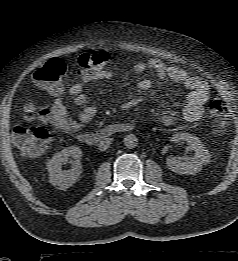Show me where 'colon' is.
<instances>
[{
	"mask_svg": "<svg viewBox=\"0 0 238 261\" xmlns=\"http://www.w3.org/2000/svg\"><path fill=\"white\" fill-rule=\"evenodd\" d=\"M108 60L109 56L104 51H87L79 56L78 65L86 71H97ZM65 73V63L60 59H51L33 74V79L37 85L51 93H59ZM25 114L29 125H16L12 132V139L23 155L38 156L52 139L51 132L41 125L47 121L48 111L38 109L29 102L25 107ZM207 117L214 134L225 133L229 112L221 100L213 99L209 102Z\"/></svg>",
	"mask_w": 238,
	"mask_h": 261,
	"instance_id": "obj_1",
	"label": "colon"
}]
</instances>
